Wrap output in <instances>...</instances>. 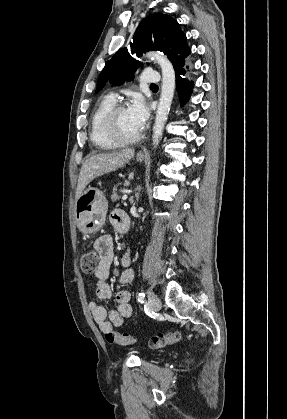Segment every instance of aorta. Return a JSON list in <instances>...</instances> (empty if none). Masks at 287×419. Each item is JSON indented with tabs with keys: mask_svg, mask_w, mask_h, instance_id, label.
Segmentation results:
<instances>
[{
	"mask_svg": "<svg viewBox=\"0 0 287 419\" xmlns=\"http://www.w3.org/2000/svg\"><path fill=\"white\" fill-rule=\"evenodd\" d=\"M147 57L156 61L161 68L162 84L161 95L153 126V146L157 148L163 134L175 91V71L172 63L166 56L159 52H149Z\"/></svg>",
	"mask_w": 287,
	"mask_h": 419,
	"instance_id": "aorta-1",
	"label": "aorta"
}]
</instances>
